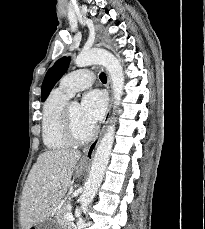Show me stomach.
Returning a JSON list of instances; mask_svg holds the SVG:
<instances>
[{
  "instance_id": "0dacf381",
  "label": "stomach",
  "mask_w": 205,
  "mask_h": 229,
  "mask_svg": "<svg viewBox=\"0 0 205 229\" xmlns=\"http://www.w3.org/2000/svg\"><path fill=\"white\" fill-rule=\"evenodd\" d=\"M84 167V164L81 165V169ZM30 229H61L60 225L57 223L56 218L51 215L44 221L33 225Z\"/></svg>"
}]
</instances>
